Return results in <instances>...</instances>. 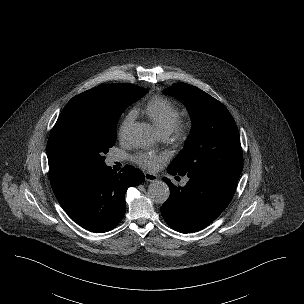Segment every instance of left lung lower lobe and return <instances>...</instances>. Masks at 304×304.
Masks as SVG:
<instances>
[{"instance_id":"1","label":"left lung lower lobe","mask_w":304,"mask_h":304,"mask_svg":"<svg viewBox=\"0 0 304 304\" xmlns=\"http://www.w3.org/2000/svg\"><path fill=\"white\" fill-rule=\"evenodd\" d=\"M168 173L176 175L173 169ZM170 196L161 207L168 225L181 233L201 230L217 218L230 203L237 183L217 177H189L184 187L175 186L168 178Z\"/></svg>"}]
</instances>
